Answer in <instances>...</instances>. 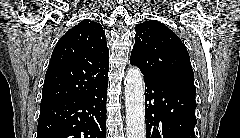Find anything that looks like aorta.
<instances>
[{
  "mask_svg": "<svg viewBox=\"0 0 240 138\" xmlns=\"http://www.w3.org/2000/svg\"><path fill=\"white\" fill-rule=\"evenodd\" d=\"M127 138H145L144 84L139 68L133 66L125 77Z\"/></svg>",
  "mask_w": 240,
  "mask_h": 138,
  "instance_id": "aorta-1",
  "label": "aorta"
}]
</instances>
